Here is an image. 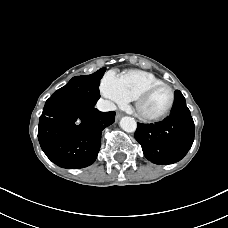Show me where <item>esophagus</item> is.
<instances>
[{
  "label": "esophagus",
  "instance_id": "1",
  "mask_svg": "<svg viewBox=\"0 0 228 228\" xmlns=\"http://www.w3.org/2000/svg\"><path fill=\"white\" fill-rule=\"evenodd\" d=\"M121 116H122V115H121L120 113H117V114H116V117H115V118H116V121H118V120L121 118Z\"/></svg>",
  "mask_w": 228,
  "mask_h": 228
}]
</instances>
